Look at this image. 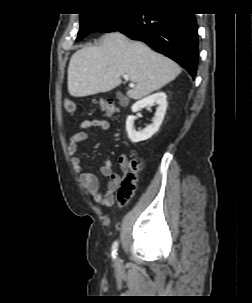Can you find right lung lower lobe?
<instances>
[{"mask_svg":"<svg viewBox=\"0 0 252 303\" xmlns=\"http://www.w3.org/2000/svg\"><path fill=\"white\" fill-rule=\"evenodd\" d=\"M119 31L179 63L194 78L198 63V27L194 14L180 9H133L99 32Z\"/></svg>","mask_w":252,"mask_h":303,"instance_id":"obj_1","label":"right lung lower lobe"}]
</instances>
